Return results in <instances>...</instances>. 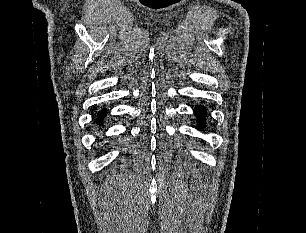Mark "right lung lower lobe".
Instances as JSON below:
<instances>
[{
  "instance_id": "1",
  "label": "right lung lower lobe",
  "mask_w": 306,
  "mask_h": 233,
  "mask_svg": "<svg viewBox=\"0 0 306 233\" xmlns=\"http://www.w3.org/2000/svg\"><path fill=\"white\" fill-rule=\"evenodd\" d=\"M106 110H102L99 114V117L97 118L98 122H102V118L105 116Z\"/></svg>"
}]
</instances>
